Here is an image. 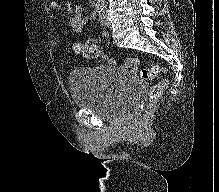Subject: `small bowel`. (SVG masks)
I'll use <instances>...</instances> for the list:
<instances>
[{
    "instance_id": "obj_1",
    "label": "small bowel",
    "mask_w": 219,
    "mask_h": 192,
    "mask_svg": "<svg viewBox=\"0 0 219 192\" xmlns=\"http://www.w3.org/2000/svg\"><path fill=\"white\" fill-rule=\"evenodd\" d=\"M51 6L55 9H60L61 5L58 2V0H54L51 3ZM65 6L67 8V10L72 13V16L69 20V24L71 29L73 30V32L75 33H81L83 30L84 25L92 20L96 18V13L95 12H91L89 15L84 16V9L82 6H76L73 7L72 3L70 1H67L65 3ZM101 34L103 37H107V32L102 30Z\"/></svg>"
}]
</instances>
